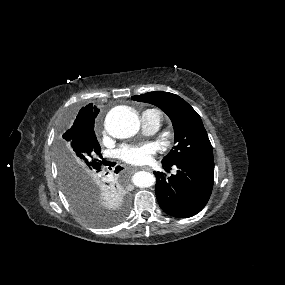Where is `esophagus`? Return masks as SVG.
<instances>
[{
    "label": "esophagus",
    "mask_w": 285,
    "mask_h": 285,
    "mask_svg": "<svg viewBox=\"0 0 285 285\" xmlns=\"http://www.w3.org/2000/svg\"><path fill=\"white\" fill-rule=\"evenodd\" d=\"M142 170H145V171H148V172L152 171V169L150 167H143Z\"/></svg>",
    "instance_id": "34e87169"
}]
</instances>
